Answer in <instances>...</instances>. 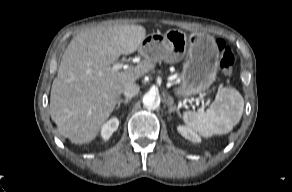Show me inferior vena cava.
<instances>
[{
    "mask_svg": "<svg viewBox=\"0 0 292 192\" xmlns=\"http://www.w3.org/2000/svg\"><path fill=\"white\" fill-rule=\"evenodd\" d=\"M140 87L136 83H127L124 86L123 94L126 98H132L138 94Z\"/></svg>",
    "mask_w": 292,
    "mask_h": 192,
    "instance_id": "obj_1",
    "label": "inferior vena cava"
}]
</instances>
